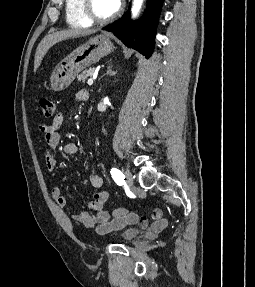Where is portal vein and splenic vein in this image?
Segmentation results:
<instances>
[{
    "label": "portal vein and splenic vein",
    "instance_id": "1",
    "mask_svg": "<svg viewBox=\"0 0 255 287\" xmlns=\"http://www.w3.org/2000/svg\"><path fill=\"white\" fill-rule=\"evenodd\" d=\"M97 78V74H93V78H90V80H88L87 84L88 86H92L94 80H96Z\"/></svg>",
    "mask_w": 255,
    "mask_h": 287
}]
</instances>
